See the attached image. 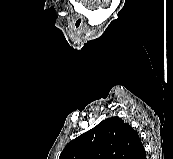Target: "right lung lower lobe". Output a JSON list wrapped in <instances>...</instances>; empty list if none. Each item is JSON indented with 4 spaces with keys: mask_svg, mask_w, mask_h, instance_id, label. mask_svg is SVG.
<instances>
[{
    "mask_svg": "<svg viewBox=\"0 0 173 159\" xmlns=\"http://www.w3.org/2000/svg\"><path fill=\"white\" fill-rule=\"evenodd\" d=\"M141 159H146V153L141 157Z\"/></svg>",
    "mask_w": 173,
    "mask_h": 159,
    "instance_id": "1",
    "label": "right lung lower lobe"
}]
</instances>
